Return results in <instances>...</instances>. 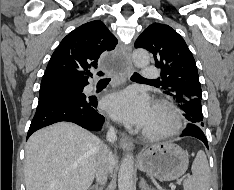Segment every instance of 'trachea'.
I'll return each mask as SVG.
<instances>
[{
  "instance_id": "obj_1",
  "label": "trachea",
  "mask_w": 234,
  "mask_h": 190,
  "mask_svg": "<svg viewBox=\"0 0 234 190\" xmlns=\"http://www.w3.org/2000/svg\"><path fill=\"white\" fill-rule=\"evenodd\" d=\"M131 79L132 80H146V81H156V80H148V79H145L143 78L140 74L138 73H134L132 76H131ZM110 79H102V81H109Z\"/></svg>"
}]
</instances>
